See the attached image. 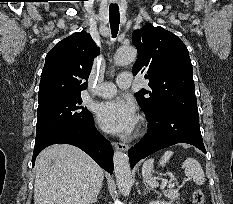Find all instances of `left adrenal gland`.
I'll return each instance as SVG.
<instances>
[{"label": "left adrenal gland", "instance_id": "left-adrenal-gland-1", "mask_svg": "<svg viewBox=\"0 0 233 204\" xmlns=\"http://www.w3.org/2000/svg\"><path fill=\"white\" fill-rule=\"evenodd\" d=\"M144 183H145V182H144ZM145 187H146V188H145L146 190H150V188L148 187V185H147L146 183H145Z\"/></svg>", "mask_w": 233, "mask_h": 204}]
</instances>
